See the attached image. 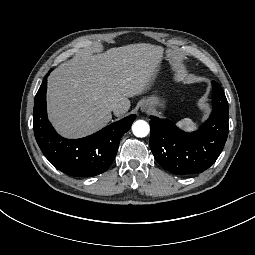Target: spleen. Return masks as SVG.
<instances>
[{
  "label": "spleen",
  "mask_w": 255,
  "mask_h": 255,
  "mask_svg": "<svg viewBox=\"0 0 255 255\" xmlns=\"http://www.w3.org/2000/svg\"><path fill=\"white\" fill-rule=\"evenodd\" d=\"M176 125H177L178 127H180V128L185 127V129H186V130H189V131L195 129V124H194V122H193L191 119H189V118H184V119L178 121V122L176 123Z\"/></svg>",
  "instance_id": "spleen-1"
}]
</instances>
